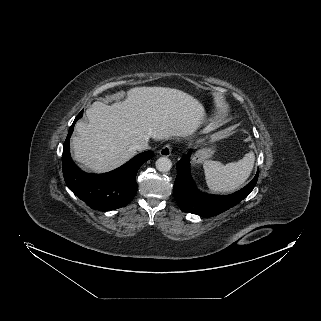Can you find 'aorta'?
I'll list each match as a JSON object with an SVG mask.
<instances>
[{
  "label": "aorta",
  "mask_w": 321,
  "mask_h": 321,
  "mask_svg": "<svg viewBox=\"0 0 321 321\" xmlns=\"http://www.w3.org/2000/svg\"><path fill=\"white\" fill-rule=\"evenodd\" d=\"M156 168L160 172H168L172 168V162L167 157H160L156 161Z\"/></svg>",
  "instance_id": "aorta-1"
}]
</instances>
